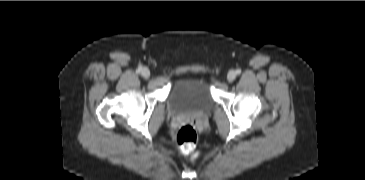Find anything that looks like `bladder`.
Masks as SVG:
<instances>
[{
    "label": "bladder",
    "mask_w": 365,
    "mask_h": 180,
    "mask_svg": "<svg viewBox=\"0 0 365 180\" xmlns=\"http://www.w3.org/2000/svg\"><path fill=\"white\" fill-rule=\"evenodd\" d=\"M214 103L207 81L199 75H189L175 84L170 91L168 106L176 114L203 113Z\"/></svg>",
    "instance_id": "31cf9c89"
}]
</instances>
